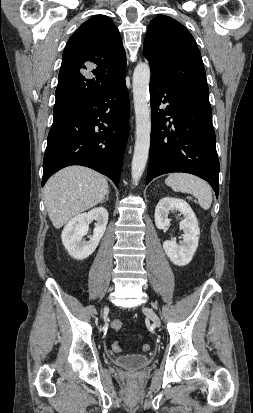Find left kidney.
Listing matches in <instances>:
<instances>
[{"mask_svg":"<svg viewBox=\"0 0 253 413\" xmlns=\"http://www.w3.org/2000/svg\"><path fill=\"white\" fill-rule=\"evenodd\" d=\"M178 210L184 216L179 228L183 230V241L177 244L176 239L163 243V249L171 262L177 266H185L190 263L198 247L200 229L197 218L190 205L178 198L164 197L155 209V224L158 229L165 230L170 226L168 215Z\"/></svg>","mask_w":253,"mask_h":413,"instance_id":"left-kidney-1","label":"left kidney"}]
</instances>
